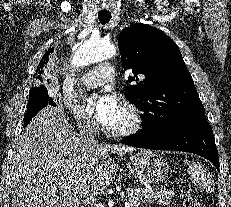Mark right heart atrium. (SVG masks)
<instances>
[{"label":"right heart atrium","mask_w":231,"mask_h":207,"mask_svg":"<svg viewBox=\"0 0 231 207\" xmlns=\"http://www.w3.org/2000/svg\"><path fill=\"white\" fill-rule=\"evenodd\" d=\"M60 105L70 112L80 129L85 131H93L96 129L94 120L71 98H62Z\"/></svg>","instance_id":"right-heart-atrium-1"}]
</instances>
